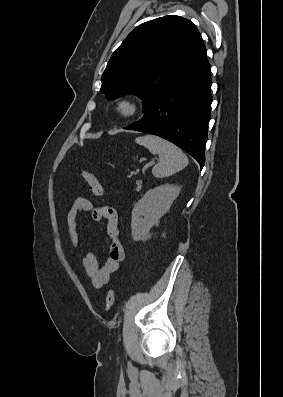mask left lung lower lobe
Here are the masks:
<instances>
[{"label":"left lung lower lobe","instance_id":"left-lung-lower-lobe-1","mask_svg":"<svg viewBox=\"0 0 283 397\" xmlns=\"http://www.w3.org/2000/svg\"><path fill=\"white\" fill-rule=\"evenodd\" d=\"M210 73L206 60L160 96L141 120L124 129L169 140L194 157L203 168L213 100Z\"/></svg>","mask_w":283,"mask_h":397}]
</instances>
